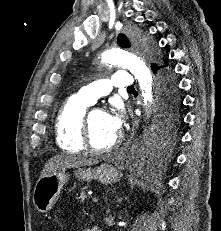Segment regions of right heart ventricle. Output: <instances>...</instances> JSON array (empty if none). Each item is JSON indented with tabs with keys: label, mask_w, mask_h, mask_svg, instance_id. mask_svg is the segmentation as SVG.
<instances>
[{
	"label": "right heart ventricle",
	"mask_w": 221,
	"mask_h": 231,
	"mask_svg": "<svg viewBox=\"0 0 221 231\" xmlns=\"http://www.w3.org/2000/svg\"><path fill=\"white\" fill-rule=\"evenodd\" d=\"M88 106V102L76 95L69 97L61 106L55 120V135L62 151L79 153L84 150L81 124Z\"/></svg>",
	"instance_id": "right-heart-ventricle-1"
}]
</instances>
